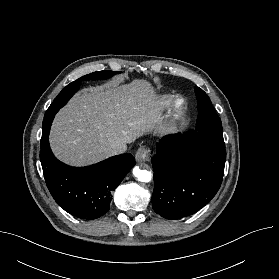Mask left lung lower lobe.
Segmentation results:
<instances>
[{
	"mask_svg": "<svg viewBox=\"0 0 279 279\" xmlns=\"http://www.w3.org/2000/svg\"><path fill=\"white\" fill-rule=\"evenodd\" d=\"M152 207L166 219H180L204 207L219 190L226 161L225 145L202 133L163 137L152 158Z\"/></svg>",
	"mask_w": 279,
	"mask_h": 279,
	"instance_id": "1",
	"label": "left lung lower lobe"
}]
</instances>
